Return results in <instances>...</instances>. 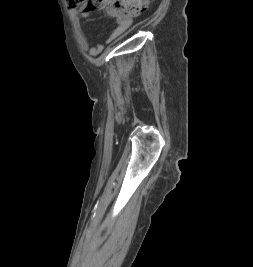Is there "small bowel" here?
<instances>
[{
    "instance_id": "obj_1",
    "label": "small bowel",
    "mask_w": 253,
    "mask_h": 267,
    "mask_svg": "<svg viewBox=\"0 0 253 267\" xmlns=\"http://www.w3.org/2000/svg\"><path fill=\"white\" fill-rule=\"evenodd\" d=\"M106 12L107 15L115 21V27L109 32L106 38V43H111L118 37H120L131 26L132 18L130 16L117 12L114 8L111 7L107 8ZM72 21L80 47L83 50L88 51L92 56L100 54L103 51L105 44L98 43L89 45L87 38L83 33L80 20L75 13L72 14Z\"/></svg>"
}]
</instances>
